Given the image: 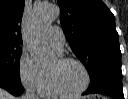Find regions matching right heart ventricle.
I'll list each match as a JSON object with an SVG mask.
<instances>
[{
  "mask_svg": "<svg viewBox=\"0 0 128 99\" xmlns=\"http://www.w3.org/2000/svg\"><path fill=\"white\" fill-rule=\"evenodd\" d=\"M40 93L46 97H53L56 94L53 92L50 83H49V79H48V75H47V79L46 82L44 84V86L42 87V89L40 90Z\"/></svg>",
  "mask_w": 128,
  "mask_h": 99,
  "instance_id": "e07e8e85",
  "label": "right heart ventricle"
}]
</instances>
